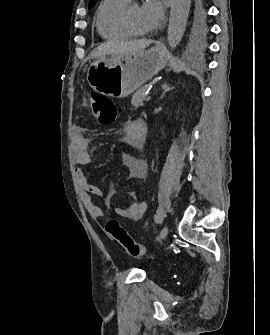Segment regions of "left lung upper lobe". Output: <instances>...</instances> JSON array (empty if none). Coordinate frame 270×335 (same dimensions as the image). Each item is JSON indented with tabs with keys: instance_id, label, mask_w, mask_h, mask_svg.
I'll return each instance as SVG.
<instances>
[{
	"instance_id": "obj_1",
	"label": "left lung upper lobe",
	"mask_w": 270,
	"mask_h": 335,
	"mask_svg": "<svg viewBox=\"0 0 270 335\" xmlns=\"http://www.w3.org/2000/svg\"><path fill=\"white\" fill-rule=\"evenodd\" d=\"M191 16L195 27L198 30H202L204 28V17H205V6L203 4V0H191ZM96 3V0H90L88 9H91Z\"/></svg>"
}]
</instances>
